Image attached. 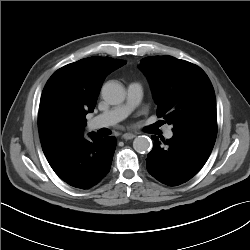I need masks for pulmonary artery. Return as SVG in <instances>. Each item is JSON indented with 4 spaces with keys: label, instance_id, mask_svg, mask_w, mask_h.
Segmentation results:
<instances>
[{
    "label": "pulmonary artery",
    "instance_id": "e3ab8cb5",
    "mask_svg": "<svg viewBox=\"0 0 250 250\" xmlns=\"http://www.w3.org/2000/svg\"><path fill=\"white\" fill-rule=\"evenodd\" d=\"M143 97V87L138 82H132L127 86V96L124 104L114 107L104 113L93 117L89 121L91 129H99L113 126L125 119L128 114L141 102ZM173 132L171 128L165 131V137L171 138Z\"/></svg>",
    "mask_w": 250,
    "mask_h": 250
}]
</instances>
